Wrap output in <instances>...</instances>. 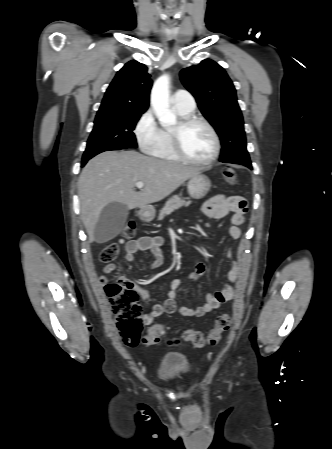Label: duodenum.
Listing matches in <instances>:
<instances>
[{
	"label": "duodenum",
	"mask_w": 332,
	"mask_h": 449,
	"mask_svg": "<svg viewBox=\"0 0 332 449\" xmlns=\"http://www.w3.org/2000/svg\"><path fill=\"white\" fill-rule=\"evenodd\" d=\"M146 211H147V209H143L142 211H141V216H145V213H146Z\"/></svg>",
	"instance_id": "1"
}]
</instances>
